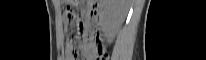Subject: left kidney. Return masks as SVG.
Masks as SVG:
<instances>
[{
	"label": "left kidney",
	"mask_w": 206,
	"mask_h": 60,
	"mask_svg": "<svg viewBox=\"0 0 206 60\" xmlns=\"http://www.w3.org/2000/svg\"><path fill=\"white\" fill-rule=\"evenodd\" d=\"M100 22L106 35H113L128 13V0H100Z\"/></svg>",
	"instance_id": "left-kidney-1"
}]
</instances>
